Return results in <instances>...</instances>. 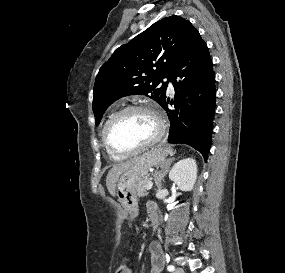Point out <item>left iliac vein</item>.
I'll use <instances>...</instances> for the list:
<instances>
[{
	"label": "left iliac vein",
	"mask_w": 285,
	"mask_h": 273,
	"mask_svg": "<svg viewBox=\"0 0 285 273\" xmlns=\"http://www.w3.org/2000/svg\"><path fill=\"white\" fill-rule=\"evenodd\" d=\"M174 273H185L183 268H177Z\"/></svg>",
	"instance_id": "1"
}]
</instances>
